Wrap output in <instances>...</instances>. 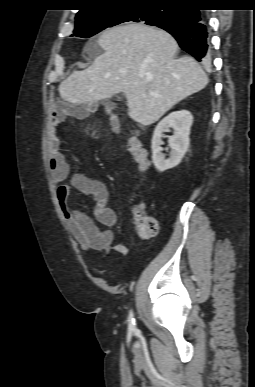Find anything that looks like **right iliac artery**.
Instances as JSON below:
<instances>
[{"mask_svg": "<svg viewBox=\"0 0 255 387\" xmlns=\"http://www.w3.org/2000/svg\"><path fill=\"white\" fill-rule=\"evenodd\" d=\"M128 321H129V329L134 330L135 329V319L133 317L132 311H130V313H129Z\"/></svg>", "mask_w": 255, "mask_h": 387, "instance_id": "1", "label": "right iliac artery"}]
</instances>
